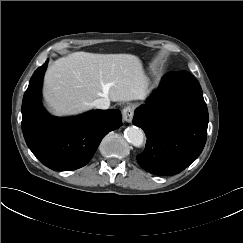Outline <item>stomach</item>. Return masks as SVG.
I'll return each mask as SVG.
<instances>
[{
	"label": "stomach",
	"mask_w": 243,
	"mask_h": 243,
	"mask_svg": "<svg viewBox=\"0 0 243 243\" xmlns=\"http://www.w3.org/2000/svg\"><path fill=\"white\" fill-rule=\"evenodd\" d=\"M145 86H146V88H147V86H148V81L146 80V82H145Z\"/></svg>",
	"instance_id": "stomach-1"
}]
</instances>
